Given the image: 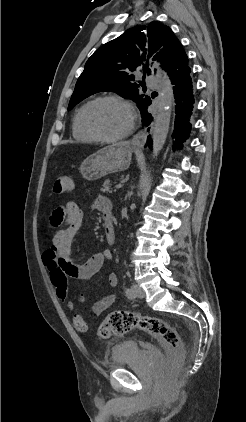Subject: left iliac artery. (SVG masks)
<instances>
[{
	"mask_svg": "<svg viewBox=\"0 0 246 422\" xmlns=\"http://www.w3.org/2000/svg\"><path fill=\"white\" fill-rule=\"evenodd\" d=\"M126 294L129 298H135L136 297V294H135V292L132 288H127Z\"/></svg>",
	"mask_w": 246,
	"mask_h": 422,
	"instance_id": "left-iliac-artery-1",
	"label": "left iliac artery"
}]
</instances>
